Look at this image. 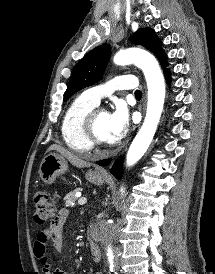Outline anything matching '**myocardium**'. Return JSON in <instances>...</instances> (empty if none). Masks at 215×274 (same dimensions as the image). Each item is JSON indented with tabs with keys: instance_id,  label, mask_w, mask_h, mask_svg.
Returning <instances> with one entry per match:
<instances>
[{
	"instance_id": "myocardium-1",
	"label": "myocardium",
	"mask_w": 215,
	"mask_h": 274,
	"mask_svg": "<svg viewBox=\"0 0 215 274\" xmlns=\"http://www.w3.org/2000/svg\"><path fill=\"white\" fill-rule=\"evenodd\" d=\"M100 111H103L101 108H93L84 118L83 130L84 134L92 146H104L108 143L101 139L95 129L96 117Z\"/></svg>"
}]
</instances>
